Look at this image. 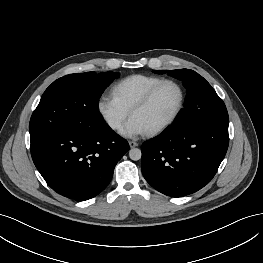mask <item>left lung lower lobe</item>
<instances>
[{"label": "left lung lower lobe", "mask_w": 263, "mask_h": 263, "mask_svg": "<svg viewBox=\"0 0 263 263\" xmlns=\"http://www.w3.org/2000/svg\"><path fill=\"white\" fill-rule=\"evenodd\" d=\"M229 144L228 122L204 125L183 132L170 126L142 145L141 169L159 192L182 197L192 194L214 177Z\"/></svg>", "instance_id": "0a47b994"}]
</instances>
